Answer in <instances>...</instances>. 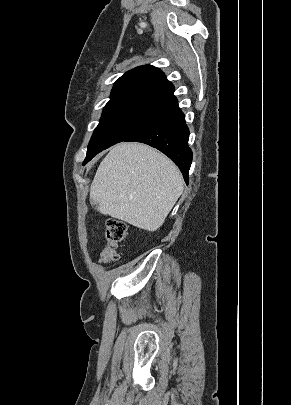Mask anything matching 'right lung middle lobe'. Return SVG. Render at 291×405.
<instances>
[{
  "instance_id": "right-lung-middle-lobe-1",
  "label": "right lung middle lobe",
  "mask_w": 291,
  "mask_h": 405,
  "mask_svg": "<svg viewBox=\"0 0 291 405\" xmlns=\"http://www.w3.org/2000/svg\"><path fill=\"white\" fill-rule=\"evenodd\" d=\"M171 105L147 100L106 104L88 145L84 164L99 152L125 141L166 114Z\"/></svg>"
}]
</instances>
